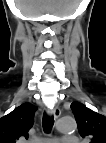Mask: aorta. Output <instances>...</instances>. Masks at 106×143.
<instances>
[{"instance_id": "aorta-1", "label": "aorta", "mask_w": 106, "mask_h": 143, "mask_svg": "<svg viewBox=\"0 0 106 143\" xmlns=\"http://www.w3.org/2000/svg\"><path fill=\"white\" fill-rule=\"evenodd\" d=\"M58 130L63 133H72L76 129V122L71 117H64L59 120Z\"/></svg>"}]
</instances>
